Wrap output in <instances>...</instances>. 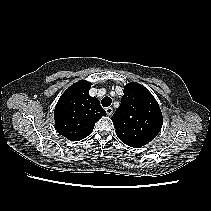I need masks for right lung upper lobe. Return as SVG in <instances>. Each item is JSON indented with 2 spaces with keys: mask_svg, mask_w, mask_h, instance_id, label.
<instances>
[{
  "mask_svg": "<svg viewBox=\"0 0 211 211\" xmlns=\"http://www.w3.org/2000/svg\"><path fill=\"white\" fill-rule=\"evenodd\" d=\"M91 83L79 81L71 85L59 98L54 110L55 128L71 141L86 138L105 110L99 100L89 95Z\"/></svg>",
  "mask_w": 211,
  "mask_h": 211,
  "instance_id": "obj_1",
  "label": "right lung upper lobe"
}]
</instances>
